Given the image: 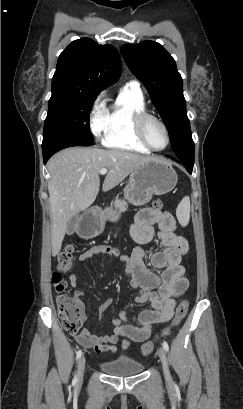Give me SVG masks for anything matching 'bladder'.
Masks as SVG:
<instances>
[{"mask_svg":"<svg viewBox=\"0 0 243 409\" xmlns=\"http://www.w3.org/2000/svg\"><path fill=\"white\" fill-rule=\"evenodd\" d=\"M101 368L107 375L124 377L141 373L144 365L132 359L121 358L105 362Z\"/></svg>","mask_w":243,"mask_h":409,"instance_id":"1","label":"bladder"}]
</instances>
